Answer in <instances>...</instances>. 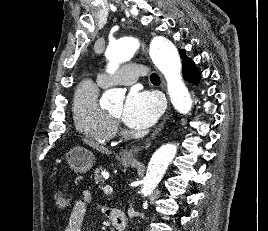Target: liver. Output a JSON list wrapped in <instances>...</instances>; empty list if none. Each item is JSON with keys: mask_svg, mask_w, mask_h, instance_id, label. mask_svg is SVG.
I'll return each instance as SVG.
<instances>
[{"mask_svg": "<svg viewBox=\"0 0 268 231\" xmlns=\"http://www.w3.org/2000/svg\"><path fill=\"white\" fill-rule=\"evenodd\" d=\"M85 142L92 146L93 148H96L98 151H101V152H106V148L102 147V146H99L98 144L92 142V141H88V140H85Z\"/></svg>", "mask_w": 268, "mask_h": 231, "instance_id": "1", "label": "liver"}]
</instances>
